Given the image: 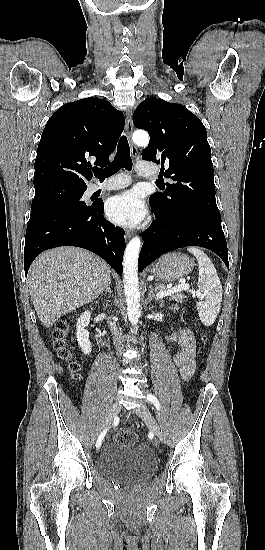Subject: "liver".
I'll list each match as a JSON object with an SVG mask.
<instances>
[{
  "label": "liver",
  "mask_w": 265,
  "mask_h": 550,
  "mask_svg": "<svg viewBox=\"0 0 265 550\" xmlns=\"http://www.w3.org/2000/svg\"><path fill=\"white\" fill-rule=\"evenodd\" d=\"M110 266L77 247L39 255L28 273L29 293L41 323L50 328L61 316L95 300L110 279Z\"/></svg>",
  "instance_id": "6515ba94"
}]
</instances>
